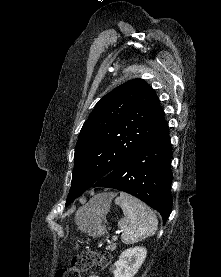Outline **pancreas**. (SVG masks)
<instances>
[{
  "label": "pancreas",
  "mask_w": 221,
  "mask_h": 277,
  "mask_svg": "<svg viewBox=\"0 0 221 277\" xmlns=\"http://www.w3.org/2000/svg\"><path fill=\"white\" fill-rule=\"evenodd\" d=\"M116 248V246L115 245H113V246H109L107 249H111V250H113V249H115Z\"/></svg>",
  "instance_id": "1"
}]
</instances>
